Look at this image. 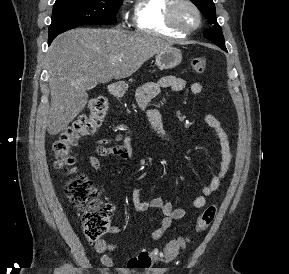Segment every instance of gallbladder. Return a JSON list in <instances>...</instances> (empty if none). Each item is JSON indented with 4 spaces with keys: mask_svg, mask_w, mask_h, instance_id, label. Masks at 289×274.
Masks as SVG:
<instances>
[{
    "mask_svg": "<svg viewBox=\"0 0 289 274\" xmlns=\"http://www.w3.org/2000/svg\"><path fill=\"white\" fill-rule=\"evenodd\" d=\"M97 84H98V83H91V84L89 85V88L92 89V88L96 87Z\"/></svg>",
    "mask_w": 289,
    "mask_h": 274,
    "instance_id": "bac80fb5",
    "label": "gallbladder"
}]
</instances>
